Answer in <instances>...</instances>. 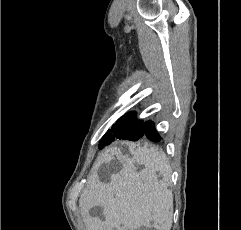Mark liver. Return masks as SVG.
I'll return each mask as SVG.
<instances>
[{
	"mask_svg": "<svg viewBox=\"0 0 241 230\" xmlns=\"http://www.w3.org/2000/svg\"><path fill=\"white\" fill-rule=\"evenodd\" d=\"M127 145L132 157L117 148L106 149L99 156L98 167H108L114 160L121 166L118 172H109L108 182H101L97 173L89 178L79 200L87 230H135L151 222L156 230H170L173 198L168 195L171 170L166 154L147 145ZM136 164L144 166L140 173L135 171ZM94 206L103 208L104 220L91 215Z\"/></svg>",
	"mask_w": 241,
	"mask_h": 230,
	"instance_id": "liver-1",
	"label": "liver"
}]
</instances>
